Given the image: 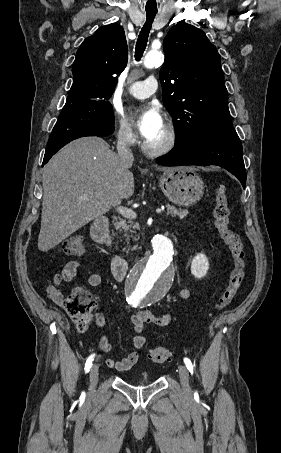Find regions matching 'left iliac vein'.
Here are the masks:
<instances>
[{"mask_svg":"<svg viewBox=\"0 0 281 453\" xmlns=\"http://www.w3.org/2000/svg\"><path fill=\"white\" fill-rule=\"evenodd\" d=\"M180 367V370H179V373H180V379H181V388L183 389V392L185 395H190L191 394V388L189 386V374H188V370L185 366H183L182 364L179 366Z\"/></svg>","mask_w":281,"mask_h":453,"instance_id":"1","label":"left iliac vein"}]
</instances>
